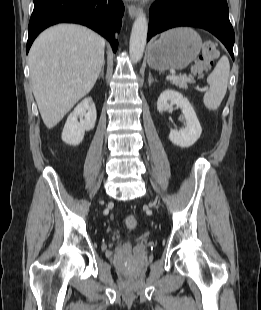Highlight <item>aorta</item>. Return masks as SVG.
<instances>
[{"label": "aorta", "instance_id": "aorta-1", "mask_svg": "<svg viewBox=\"0 0 261 310\" xmlns=\"http://www.w3.org/2000/svg\"><path fill=\"white\" fill-rule=\"evenodd\" d=\"M148 21L144 13H140L136 18L130 36L129 53L134 63L141 60L147 38Z\"/></svg>", "mask_w": 261, "mask_h": 310}]
</instances>
